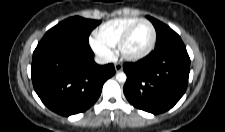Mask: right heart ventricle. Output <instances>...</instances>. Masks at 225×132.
Instances as JSON below:
<instances>
[{
  "label": "right heart ventricle",
  "mask_w": 225,
  "mask_h": 132,
  "mask_svg": "<svg viewBox=\"0 0 225 132\" xmlns=\"http://www.w3.org/2000/svg\"><path fill=\"white\" fill-rule=\"evenodd\" d=\"M137 18L124 17L109 20L102 24L95 33V38L106 46H117L124 31L134 23Z\"/></svg>",
  "instance_id": "obj_1"
}]
</instances>
